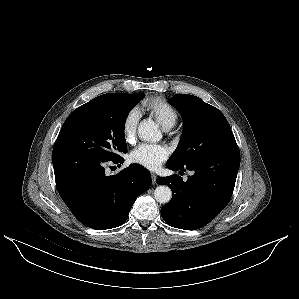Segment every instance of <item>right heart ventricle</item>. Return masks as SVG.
I'll list each match as a JSON object with an SVG mask.
<instances>
[{"mask_svg":"<svg viewBox=\"0 0 299 299\" xmlns=\"http://www.w3.org/2000/svg\"><path fill=\"white\" fill-rule=\"evenodd\" d=\"M142 109L153 116L164 129L172 128L179 119L178 111L161 97L147 100Z\"/></svg>","mask_w":299,"mask_h":299,"instance_id":"obj_1","label":"right heart ventricle"}]
</instances>
